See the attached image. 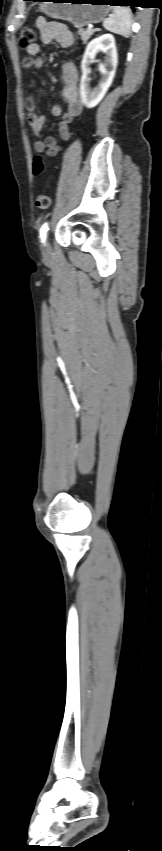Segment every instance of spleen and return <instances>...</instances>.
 I'll return each mask as SVG.
<instances>
[{"mask_svg":"<svg viewBox=\"0 0 162 851\" xmlns=\"http://www.w3.org/2000/svg\"><path fill=\"white\" fill-rule=\"evenodd\" d=\"M131 23V10L128 7H114L113 14L104 20L103 27L128 38L131 35Z\"/></svg>","mask_w":162,"mask_h":851,"instance_id":"3e777b00","label":"spleen"}]
</instances>
